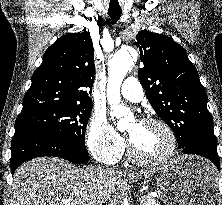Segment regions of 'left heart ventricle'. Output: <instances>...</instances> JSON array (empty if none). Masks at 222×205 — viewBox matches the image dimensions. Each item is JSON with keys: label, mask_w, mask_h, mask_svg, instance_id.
I'll use <instances>...</instances> for the list:
<instances>
[{"label": "left heart ventricle", "mask_w": 222, "mask_h": 205, "mask_svg": "<svg viewBox=\"0 0 222 205\" xmlns=\"http://www.w3.org/2000/svg\"><path fill=\"white\" fill-rule=\"evenodd\" d=\"M136 152L144 158H155L167 150L169 138L158 125L131 122L127 127Z\"/></svg>", "instance_id": "1"}]
</instances>
